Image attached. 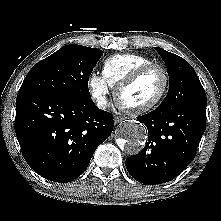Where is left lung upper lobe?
<instances>
[{"label":"left lung upper lobe","mask_w":221,"mask_h":221,"mask_svg":"<svg viewBox=\"0 0 221 221\" xmlns=\"http://www.w3.org/2000/svg\"><path fill=\"white\" fill-rule=\"evenodd\" d=\"M166 64L169 91L159 107L174 108L190 102H206V94L193 67L183 58L154 47Z\"/></svg>","instance_id":"5c2ea615"}]
</instances>
